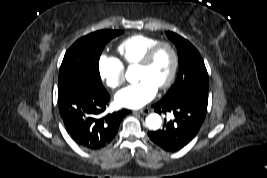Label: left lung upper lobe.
Wrapping results in <instances>:
<instances>
[{
	"label": "left lung upper lobe",
	"mask_w": 267,
	"mask_h": 178,
	"mask_svg": "<svg viewBox=\"0 0 267 178\" xmlns=\"http://www.w3.org/2000/svg\"><path fill=\"white\" fill-rule=\"evenodd\" d=\"M166 34L178 50L179 72L176 82L163 99H176L186 94H199L208 97V73L199 52L181 36L173 32Z\"/></svg>",
	"instance_id": "5c2ea615"
}]
</instances>
